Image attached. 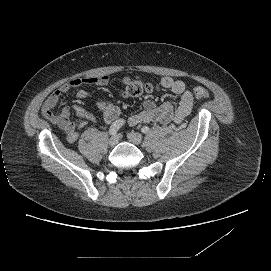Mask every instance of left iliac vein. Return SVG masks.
I'll use <instances>...</instances> for the list:
<instances>
[{
    "mask_svg": "<svg viewBox=\"0 0 271 271\" xmlns=\"http://www.w3.org/2000/svg\"><path fill=\"white\" fill-rule=\"evenodd\" d=\"M127 138H128V140H129L131 143H133V144H135V145H140L141 142H142V136H141V134L136 133V132H129V133L127 134Z\"/></svg>",
    "mask_w": 271,
    "mask_h": 271,
    "instance_id": "left-iliac-vein-1",
    "label": "left iliac vein"
}]
</instances>
